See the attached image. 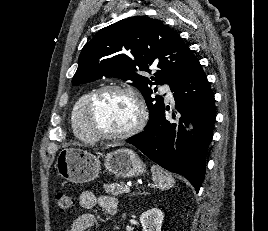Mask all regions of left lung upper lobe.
<instances>
[{"mask_svg": "<svg viewBox=\"0 0 268 231\" xmlns=\"http://www.w3.org/2000/svg\"><path fill=\"white\" fill-rule=\"evenodd\" d=\"M197 58L179 34L162 21L145 16L120 20L101 29L82 49L72 85L105 77L132 81L149 108V127L164 109L161 96L152 98L153 84H171ZM156 71L151 80L141 71Z\"/></svg>", "mask_w": 268, "mask_h": 231, "instance_id": "left-lung-upper-lobe-1", "label": "left lung upper lobe"}]
</instances>
